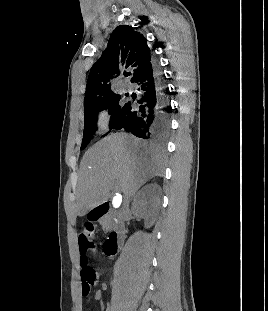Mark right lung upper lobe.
<instances>
[{
  "label": "right lung upper lobe",
  "mask_w": 268,
  "mask_h": 311,
  "mask_svg": "<svg viewBox=\"0 0 268 311\" xmlns=\"http://www.w3.org/2000/svg\"><path fill=\"white\" fill-rule=\"evenodd\" d=\"M152 60L151 50L143 34L128 25L118 26L109 39L107 49L90 70L84 112L114 94L111 82L120 74L121 68L131 70L132 82L144 72Z\"/></svg>",
  "instance_id": "1"
}]
</instances>
